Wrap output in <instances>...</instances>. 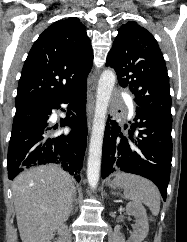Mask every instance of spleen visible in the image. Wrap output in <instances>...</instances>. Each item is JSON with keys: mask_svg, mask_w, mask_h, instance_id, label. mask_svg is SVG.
Wrapping results in <instances>:
<instances>
[{"mask_svg": "<svg viewBox=\"0 0 187 242\" xmlns=\"http://www.w3.org/2000/svg\"><path fill=\"white\" fill-rule=\"evenodd\" d=\"M114 187L123 189L124 195L133 202L147 205L154 216L159 214L160 192L148 179L133 174L118 173Z\"/></svg>", "mask_w": 187, "mask_h": 242, "instance_id": "1", "label": "spleen"}]
</instances>
